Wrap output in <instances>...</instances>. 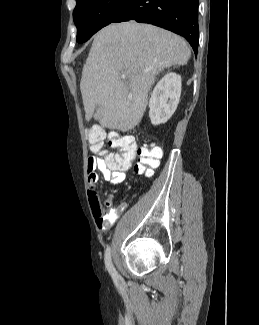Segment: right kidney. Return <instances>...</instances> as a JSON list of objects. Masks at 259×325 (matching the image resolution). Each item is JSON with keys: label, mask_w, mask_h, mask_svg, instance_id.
<instances>
[{"label": "right kidney", "mask_w": 259, "mask_h": 325, "mask_svg": "<svg viewBox=\"0 0 259 325\" xmlns=\"http://www.w3.org/2000/svg\"><path fill=\"white\" fill-rule=\"evenodd\" d=\"M181 76L170 72L155 86L149 100V117L153 125L167 122L175 112L181 95Z\"/></svg>", "instance_id": "ca27d5eb"}]
</instances>
